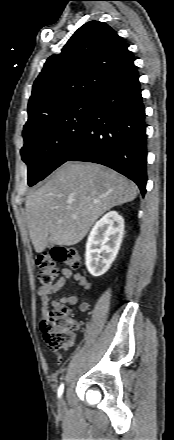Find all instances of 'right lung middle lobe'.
<instances>
[{
	"instance_id": "dd1d6c3e",
	"label": "right lung middle lobe",
	"mask_w": 174,
	"mask_h": 440,
	"mask_svg": "<svg viewBox=\"0 0 174 440\" xmlns=\"http://www.w3.org/2000/svg\"><path fill=\"white\" fill-rule=\"evenodd\" d=\"M93 107L92 95L46 116L23 130L22 160L28 165V185L44 179L66 161L81 141Z\"/></svg>"
}]
</instances>
